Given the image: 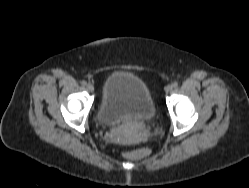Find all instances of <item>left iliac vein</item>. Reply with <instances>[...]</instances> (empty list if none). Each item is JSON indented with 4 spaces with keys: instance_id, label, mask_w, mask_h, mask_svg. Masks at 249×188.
Returning a JSON list of instances; mask_svg holds the SVG:
<instances>
[{
    "instance_id": "obj_1",
    "label": "left iliac vein",
    "mask_w": 249,
    "mask_h": 188,
    "mask_svg": "<svg viewBox=\"0 0 249 188\" xmlns=\"http://www.w3.org/2000/svg\"><path fill=\"white\" fill-rule=\"evenodd\" d=\"M172 85H167L166 87H165V92L166 93H169L171 90H172Z\"/></svg>"
}]
</instances>
